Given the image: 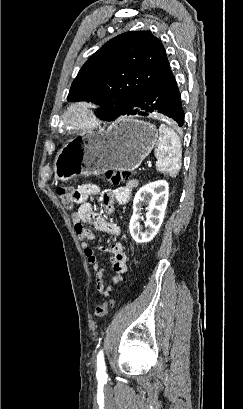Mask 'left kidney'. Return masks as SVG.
Instances as JSON below:
<instances>
[{"label":"left kidney","instance_id":"left-kidney-1","mask_svg":"<svg viewBox=\"0 0 243 409\" xmlns=\"http://www.w3.org/2000/svg\"><path fill=\"white\" fill-rule=\"evenodd\" d=\"M169 197V185L165 180H158L142 186L133 200V215L130 219L129 230L133 240L137 243L151 241L157 234L165 215ZM147 205L149 211L145 223L146 230L142 231L141 207Z\"/></svg>","mask_w":243,"mask_h":409}]
</instances>
